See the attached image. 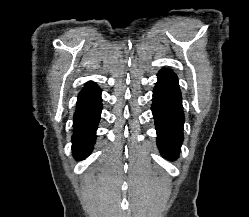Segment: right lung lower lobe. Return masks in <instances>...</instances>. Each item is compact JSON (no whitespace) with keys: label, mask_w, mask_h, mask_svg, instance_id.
Wrapping results in <instances>:
<instances>
[{"label":"right lung lower lobe","mask_w":249,"mask_h":217,"mask_svg":"<svg viewBox=\"0 0 249 217\" xmlns=\"http://www.w3.org/2000/svg\"><path fill=\"white\" fill-rule=\"evenodd\" d=\"M101 109V90L89 82L78 95L74 113L72 149L75 158L82 160L92 151Z\"/></svg>","instance_id":"98d812e1"}]
</instances>
